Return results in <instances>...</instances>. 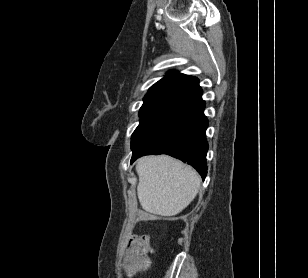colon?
<instances>
[{
	"label": "colon",
	"instance_id": "1",
	"mask_svg": "<svg viewBox=\"0 0 308 278\" xmlns=\"http://www.w3.org/2000/svg\"><path fill=\"white\" fill-rule=\"evenodd\" d=\"M152 251L148 237H133L129 240L125 258V270L129 275L142 271L147 264V256Z\"/></svg>",
	"mask_w": 308,
	"mask_h": 278
}]
</instances>
